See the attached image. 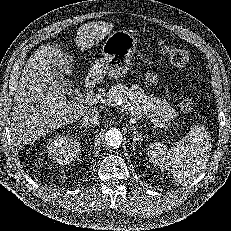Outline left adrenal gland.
I'll return each instance as SVG.
<instances>
[{
    "label": "left adrenal gland",
    "instance_id": "a2214340",
    "mask_svg": "<svg viewBox=\"0 0 231 231\" xmlns=\"http://www.w3.org/2000/svg\"><path fill=\"white\" fill-rule=\"evenodd\" d=\"M129 129L131 130V132H133V135H132L133 143H132V145H133V147H135L136 141L139 139V138H138V137H139V133H138L136 127L133 126V125H131V126L129 127Z\"/></svg>",
    "mask_w": 231,
    "mask_h": 231
}]
</instances>
